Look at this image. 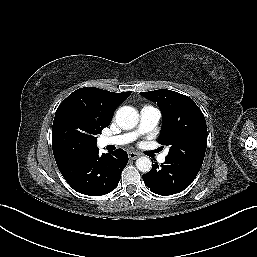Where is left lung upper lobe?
I'll return each mask as SVG.
<instances>
[{
    "mask_svg": "<svg viewBox=\"0 0 257 257\" xmlns=\"http://www.w3.org/2000/svg\"><path fill=\"white\" fill-rule=\"evenodd\" d=\"M140 94L156 102L162 111L158 142L170 146L167 157L202 166L207 147V127L205 117L194 101L166 89Z\"/></svg>",
    "mask_w": 257,
    "mask_h": 257,
    "instance_id": "1",
    "label": "left lung upper lobe"
}]
</instances>
